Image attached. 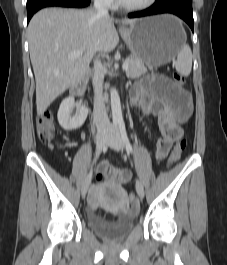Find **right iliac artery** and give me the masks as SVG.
Returning a JSON list of instances; mask_svg holds the SVG:
<instances>
[{"label":"right iliac artery","mask_w":227,"mask_h":265,"mask_svg":"<svg viewBox=\"0 0 227 265\" xmlns=\"http://www.w3.org/2000/svg\"><path fill=\"white\" fill-rule=\"evenodd\" d=\"M113 127H114V129H116V128H117V123H114V124H113ZM105 148H106V147H105ZM105 148H104V149H105ZM88 175H91V176H92V170L90 171V173H89Z\"/></svg>","instance_id":"obj_1"}]
</instances>
